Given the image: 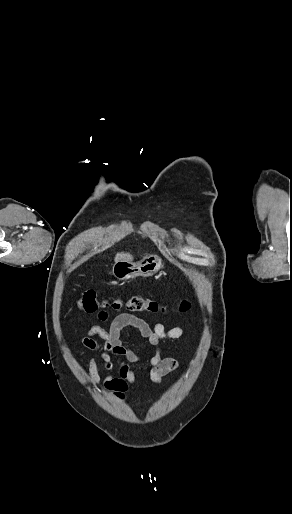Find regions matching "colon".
I'll return each instance as SVG.
<instances>
[{"label":"colon","mask_w":292,"mask_h":514,"mask_svg":"<svg viewBox=\"0 0 292 514\" xmlns=\"http://www.w3.org/2000/svg\"><path fill=\"white\" fill-rule=\"evenodd\" d=\"M106 302L99 299L96 292L92 289H88L83 294L81 299V306L84 311L87 313H95L102 312L103 308L110 307L113 310H126L130 313L137 312H147V313H157L162 310V306L160 302L155 299L141 297L138 295H133L127 297L125 299H119L114 301L110 306L105 305ZM189 308V303L187 300H182L178 304V309L180 312H185Z\"/></svg>","instance_id":"1"}]
</instances>
